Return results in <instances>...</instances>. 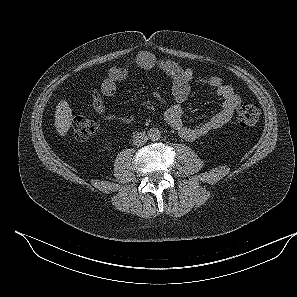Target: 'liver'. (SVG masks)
<instances>
[{
    "label": "liver",
    "instance_id": "liver-1",
    "mask_svg": "<svg viewBox=\"0 0 297 297\" xmlns=\"http://www.w3.org/2000/svg\"><path fill=\"white\" fill-rule=\"evenodd\" d=\"M71 121L72 109L67 101L62 100L58 103L55 111V127L59 135H66L70 129Z\"/></svg>",
    "mask_w": 297,
    "mask_h": 297
}]
</instances>
